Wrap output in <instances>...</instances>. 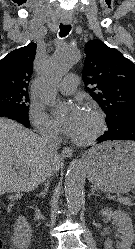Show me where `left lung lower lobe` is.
<instances>
[{
    "instance_id": "1",
    "label": "left lung lower lobe",
    "mask_w": 135,
    "mask_h": 249,
    "mask_svg": "<svg viewBox=\"0 0 135 249\" xmlns=\"http://www.w3.org/2000/svg\"><path fill=\"white\" fill-rule=\"evenodd\" d=\"M107 140L135 141V111H126L115 124L108 125V131L98 138L99 143Z\"/></svg>"
}]
</instances>
